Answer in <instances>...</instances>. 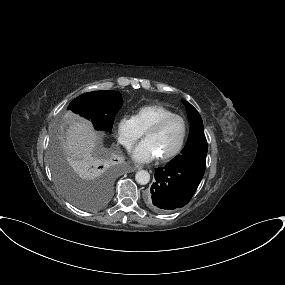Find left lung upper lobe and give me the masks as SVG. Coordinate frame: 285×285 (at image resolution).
Segmentation results:
<instances>
[{
    "label": "left lung upper lobe",
    "instance_id": "obj_1",
    "mask_svg": "<svg viewBox=\"0 0 285 285\" xmlns=\"http://www.w3.org/2000/svg\"><path fill=\"white\" fill-rule=\"evenodd\" d=\"M183 103L186 106L189 122L191 123L190 133L181 154L169 164L204 175L208 145L204 135L203 122L198 111L191 104L186 101H183Z\"/></svg>",
    "mask_w": 285,
    "mask_h": 285
}]
</instances>
